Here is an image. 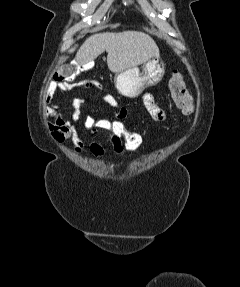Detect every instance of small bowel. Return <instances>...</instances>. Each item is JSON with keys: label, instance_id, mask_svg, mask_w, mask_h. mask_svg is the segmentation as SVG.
Masks as SVG:
<instances>
[{"label": "small bowel", "instance_id": "obj_1", "mask_svg": "<svg viewBox=\"0 0 240 287\" xmlns=\"http://www.w3.org/2000/svg\"><path fill=\"white\" fill-rule=\"evenodd\" d=\"M95 87L104 89V87L95 83ZM65 92V89L59 85L55 80L51 81L47 87L44 103L47 106L48 114L54 118V122L50 126L52 138L59 143L70 141L76 153L82 154L85 150V143L79 137L77 131V123L71 119L64 118L58 112V103L56 97L59 93ZM101 100L108 104L115 112L118 119L125 120L128 116L129 109L126 105L120 106L116 99L110 94H103ZM84 102V99H83ZM142 103L149 116L156 122H164L166 114L160 108L151 93H144L142 96ZM108 144L112 147L114 153L120 156L124 153V148L119 141H114L106 135ZM88 148L96 158H102L105 150L103 144L97 138H92L89 141Z\"/></svg>", "mask_w": 240, "mask_h": 287}]
</instances>
